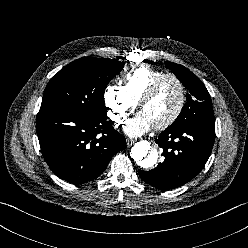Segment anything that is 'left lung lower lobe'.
Segmentation results:
<instances>
[{
  "instance_id": "obj_1",
  "label": "left lung lower lobe",
  "mask_w": 248,
  "mask_h": 248,
  "mask_svg": "<svg viewBox=\"0 0 248 248\" xmlns=\"http://www.w3.org/2000/svg\"><path fill=\"white\" fill-rule=\"evenodd\" d=\"M215 140V122L168 127L155 142L164 161L150 171L139 170L147 184L168 191L192 180L204 168Z\"/></svg>"
}]
</instances>
